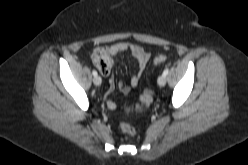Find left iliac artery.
Returning <instances> with one entry per match:
<instances>
[{"mask_svg":"<svg viewBox=\"0 0 248 165\" xmlns=\"http://www.w3.org/2000/svg\"><path fill=\"white\" fill-rule=\"evenodd\" d=\"M169 70L168 68H166L164 71H163V75L166 76L168 74Z\"/></svg>","mask_w":248,"mask_h":165,"instance_id":"obj_1","label":"left iliac artery"}]
</instances>
